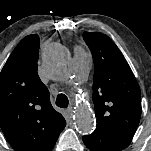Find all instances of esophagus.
<instances>
[{
    "instance_id": "34e87169",
    "label": "esophagus",
    "mask_w": 151,
    "mask_h": 151,
    "mask_svg": "<svg viewBox=\"0 0 151 151\" xmlns=\"http://www.w3.org/2000/svg\"><path fill=\"white\" fill-rule=\"evenodd\" d=\"M67 112H68L70 115H72V113H73V107H69V108L67 109Z\"/></svg>"
}]
</instances>
